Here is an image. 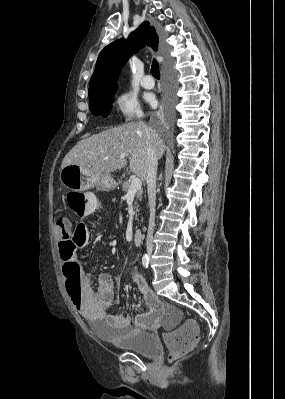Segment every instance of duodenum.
Here are the masks:
<instances>
[{
	"label": "duodenum",
	"mask_w": 285,
	"mask_h": 399,
	"mask_svg": "<svg viewBox=\"0 0 285 399\" xmlns=\"http://www.w3.org/2000/svg\"><path fill=\"white\" fill-rule=\"evenodd\" d=\"M144 231L141 229H136L133 234V241L135 244L139 245L144 239Z\"/></svg>",
	"instance_id": "obj_1"
}]
</instances>
